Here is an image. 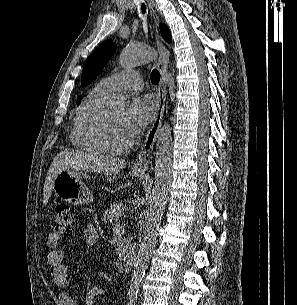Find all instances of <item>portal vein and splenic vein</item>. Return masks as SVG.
Masks as SVG:
<instances>
[{"label": "portal vein and splenic vein", "mask_w": 297, "mask_h": 305, "mask_svg": "<svg viewBox=\"0 0 297 305\" xmlns=\"http://www.w3.org/2000/svg\"><path fill=\"white\" fill-rule=\"evenodd\" d=\"M121 228H122V225L119 226V229H121Z\"/></svg>", "instance_id": "18ae733b"}]
</instances>
